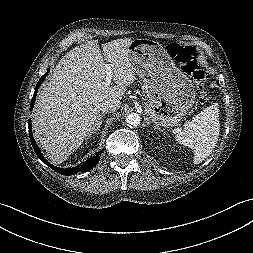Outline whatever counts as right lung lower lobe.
I'll use <instances>...</instances> for the list:
<instances>
[{
  "mask_svg": "<svg viewBox=\"0 0 253 253\" xmlns=\"http://www.w3.org/2000/svg\"><path fill=\"white\" fill-rule=\"evenodd\" d=\"M48 73V72H47ZM46 74H44L40 80L38 81L36 88H35V92H34V96L31 100V104H30V110L33 109L34 106V102H35V97L38 91V88L40 87V85L42 84V82L44 81V79L46 78ZM28 128H29V136H30V140H31V144L33 146V149L35 151V153L37 154V156L39 157V159L41 161H43L46 165H48L50 168H52L54 171L58 172L59 174L62 175H73L77 172H85L90 170L91 168H93L98 162H99V155L102 153V151H99L98 153H96V156L90 158L89 160H87L85 163H83V165H78L76 167L73 168H68V169H62V168H58L56 166H53L52 164L48 163L45 158L43 157L39 147L37 146L34 138H33V134H32V130H31V120H28Z\"/></svg>",
  "mask_w": 253,
  "mask_h": 253,
  "instance_id": "98d812e1",
  "label": "right lung lower lobe"
}]
</instances>
